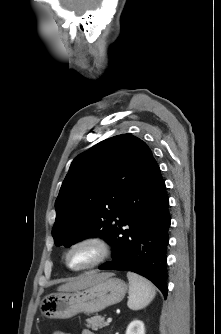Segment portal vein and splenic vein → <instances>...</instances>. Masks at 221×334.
<instances>
[{"mask_svg":"<svg viewBox=\"0 0 221 334\" xmlns=\"http://www.w3.org/2000/svg\"><path fill=\"white\" fill-rule=\"evenodd\" d=\"M112 322V318H107V323H111Z\"/></svg>","mask_w":221,"mask_h":334,"instance_id":"portal-vein-and-splenic-vein-1","label":"portal vein and splenic vein"}]
</instances>
